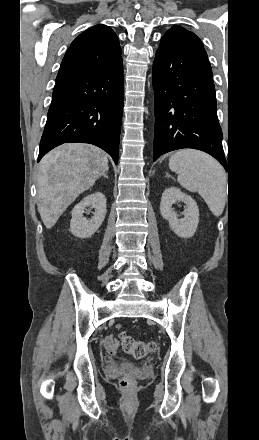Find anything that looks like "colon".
Returning a JSON list of instances; mask_svg holds the SVG:
<instances>
[{
    "instance_id": "1",
    "label": "colon",
    "mask_w": 259,
    "mask_h": 440,
    "mask_svg": "<svg viewBox=\"0 0 259 440\" xmlns=\"http://www.w3.org/2000/svg\"><path fill=\"white\" fill-rule=\"evenodd\" d=\"M119 343L126 353L135 358H143L157 349L155 342L136 340L126 332H121L119 334ZM133 385L134 380L131 376L126 375L120 380V386L125 390L131 389Z\"/></svg>"
}]
</instances>
